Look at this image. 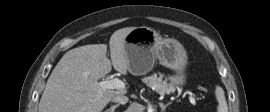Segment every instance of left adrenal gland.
Instances as JSON below:
<instances>
[{
    "label": "left adrenal gland",
    "mask_w": 270,
    "mask_h": 112,
    "mask_svg": "<svg viewBox=\"0 0 270 112\" xmlns=\"http://www.w3.org/2000/svg\"><path fill=\"white\" fill-rule=\"evenodd\" d=\"M171 103H167L166 105L163 103H159V106L161 108V111L164 112L166 108L170 105Z\"/></svg>",
    "instance_id": "obj_1"
}]
</instances>
